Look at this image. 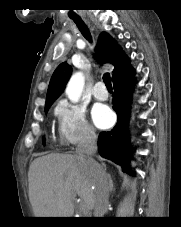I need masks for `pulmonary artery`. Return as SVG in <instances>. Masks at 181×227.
<instances>
[{"mask_svg":"<svg viewBox=\"0 0 181 227\" xmlns=\"http://www.w3.org/2000/svg\"><path fill=\"white\" fill-rule=\"evenodd\" d=\"M92 94L95 99L99 101H105L108 99V92L105 89L103 82H97L93 88Z\"/></svg>","mask_w":181,"mask_h":227,"instance_id":"1","label":"pulmonary artery"}]
</instances>
